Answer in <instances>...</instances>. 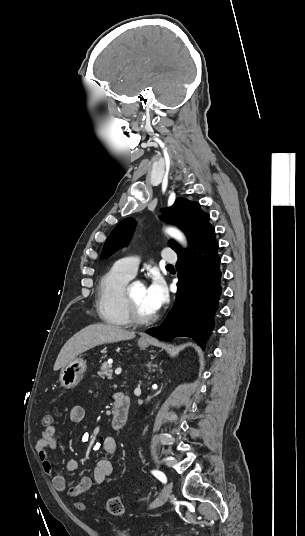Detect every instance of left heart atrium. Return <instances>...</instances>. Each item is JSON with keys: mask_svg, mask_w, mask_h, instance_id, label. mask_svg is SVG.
I'll return each mask as SVG.
<instances>
[{"mask_svg": "<svg viewBox=\"0 0 305 536\" xmlns=\"http://www.w3.org/2000/svg\"><path fill=\"white\" fill-rule=\"evenodd\" d=\"M165 298L164 285L162 280L153 275L145 286V300L149 309L153 312L157 311L162 305Z\"/></svg>", "mask_w": 305, "mask_h": 536, "instance_id": "39dd6f15", "label": "left heart atrium"}]
</instances>
